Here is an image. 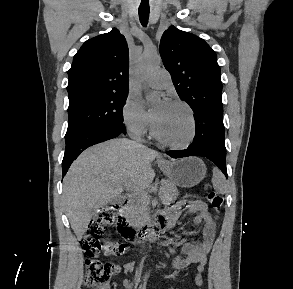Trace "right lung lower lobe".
I'll return each mask as SVG.
<instances>
[{
	"label": "right lung lower lobe",
	"mask_w": 293,
	"mask_h": 289,
	"mask_svg": "<svg viewBox=\"0 0 293 289\" xmlns=\"http://www.w3.org/2000/svg\"><path fill=\"white\" fill-rule=\"evenodd\" d=\"M120 134H126L124 124L110 123L92 127L67 139L65 154L62 161L63 176L66 174L75 158L86 148L115 138Z\"/></svg>",
	"instance_id": "98d812e1"
}]
</instances>
